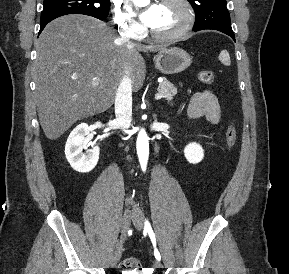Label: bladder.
<instances>
[{
    "mask_svg": "<svg viewBox=\"0 0 289 274\" xmlns=\"http://www.w3.org/2000/svg\"><path fill=\"white\" fill-rule=\"evenodd\" d=\"M121 274H145L141 271H123Z\"/></svg>",
    "mask_w": 289,
    "mask_h": 274,
    "instance_id": "31cf9c89",
    "label": "bladder"
}]
</instances>
